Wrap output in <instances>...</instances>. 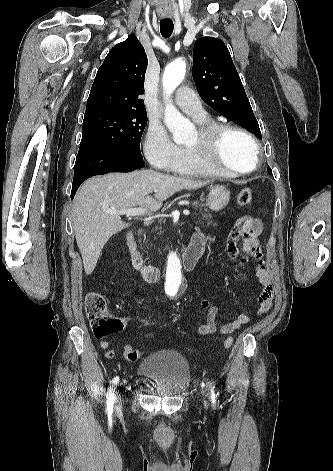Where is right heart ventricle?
Segmentation results:
<instances>
[{
    "label": "right heart ventricle",
    "mask_w": 333,
    "mask_h": 471,
    "mask_svg": "<svg viewBox=\"0 0 333 471\" xmlns=\"http://www.w3.org/2000/svg\"><path fill=\"white\" fill-rule=\"evenodd\" d=\"M209 122L210 121L207 118H204L199 121L201 125L207 124ZM173 172L179 175L193 177L225 176L219 175L212 168L201 163L191 154V152L187 148H183L182 159L179 164L174 168Z\"/></svg>",
    "instance_id": "1"
}]
</instances>
